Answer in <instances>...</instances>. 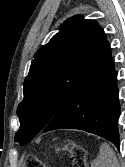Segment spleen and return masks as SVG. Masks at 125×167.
<instances>
[{
    "instance_id": "obj_1",
    "label": "spleen",
    "mask_w": 125,
    "mask_h": 167,
    "mask_svg": "<svg viewBox=\"0 0 125 167\" xmlns=\"http://www.w3.org/2000/svg\"><path fill=\"white\" fill-rule=\"evenodd\" d=\"M91 167H120L118 160L112 148L107 143H102L100 151L95 160L91 163Z\"/></svg>"
}]
</instances>
